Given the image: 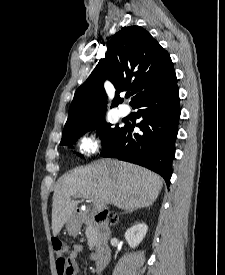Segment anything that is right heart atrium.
Masks as SVG:
<instances>
[{"label":"right heart atrium","mask_w":225,"mask_h":275,"mask_svg":"<svg viewBox=\"0 0 225 275\" xmlns=\"http://www.w3.org/2000/svg\"><path fill=\"white\" fill-rule=\"evenodd\" d=\"M100 145V140L96 135H87L82 137L78 142V150L83 155L94 153Z\"/></svg>","instance_id":"obj_1"}]
</instances>
